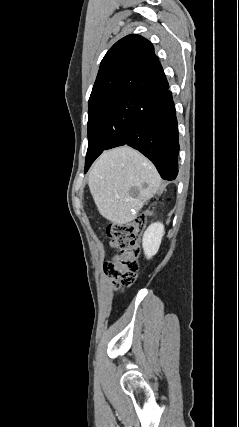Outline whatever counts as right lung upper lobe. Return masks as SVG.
<instances>
[{"instance_id": "right-lung-upper-lobe-1", "label": "right lung upper lobe", "mask_w": 239, "mask_h": 427, "mask_svg": "<svg viewBox=\"0 0 239 427\" xmlns=\"http://www.w3.org/2000/svg\"><path fill=\"white\" fill-rule=\"evenodd\" d=\"M169 88L151 42L132 34L116 42L101 61L89 102L148 97Z\"/></svg>"}]
</instances>
